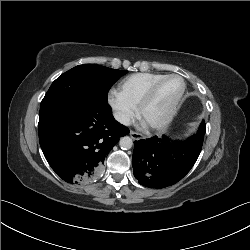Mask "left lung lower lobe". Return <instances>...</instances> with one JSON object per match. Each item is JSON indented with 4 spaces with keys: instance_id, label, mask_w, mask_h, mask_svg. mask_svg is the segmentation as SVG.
<instances>
[{
    "instance_id": "obj_1",
    "label": "left lung lower lobe",
    "mask_w": 250,
    "mask_h": 250,
    "mask_svg": "<svg viewBox=\"0 0 250 250\" xmlns=\"http://www.w3.org/2000/svg\"><path fill=\"white\" fill-rule=\"evenodd\" d=\"M206 125L202 121L195 136L170 142L166 136L134 141L132 166L138 182L164 188L180 181L195 164L203 144Z\"/></svg>"
}]
</instances>
